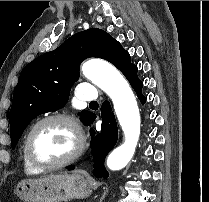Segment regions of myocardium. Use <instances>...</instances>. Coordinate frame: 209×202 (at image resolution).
Listing matches in <instances>:
<instances>
[{
	"instance_id": "f54148a6",
	"label": "myocardium",
	"mask_w": 209,
	"mask_h": 202,
	"mask_svg": "<svg viewBox=\"0 0 209 202\" xmlns=\"http://www.w3.org/2000/svg\"><path fill=\"white\" fill-rule=\"evenodd\" d=\"M49 121H59L69 126L76 136V145L73 151L67 157L54 163L44 164L38 162L33 157L31 153L30 143H31L32 135L36 131V129L42 124ZM84 149H85V135L81 125L74 117L65 113H52L38 119L28 130L23 144V152L25 154L27 161L30 163L31 166H33L35 169L39 171H51V170L64 168L65 166L76 161L82 155Z\"/></svg>"
}]
</instances>
